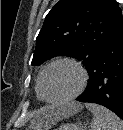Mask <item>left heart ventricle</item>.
I'll use <instances>...</instances> for the list:
<instances>
[{
	"mask_svg": "<svg viewBox=\"0 0 123 130\" xmlns=\"http://www.w3.org/2000/svg\"><path fill=\"white\" fill-rule=\"evenodd\" d=\"M80 83V73L67 63L50 67L44 76V94L49 99H61L71 95Z\"/></svg>",
	"mask_w": 123,
	"mask_h": 130,
	"instance_id": "1",
	"label": "left heart ventricle"
}]
</instances>
